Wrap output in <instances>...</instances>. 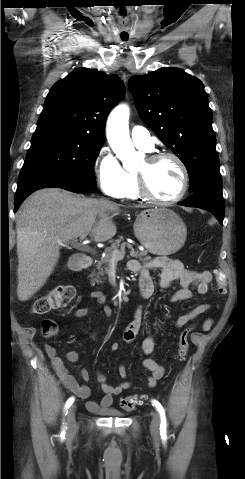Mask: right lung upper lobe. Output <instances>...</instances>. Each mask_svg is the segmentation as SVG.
Returning a JSON list of instances; mask_svg holds the SVG:
<instances>
[{
    "mask_svg": "<svg viewBox=\"0 0 245 479\" xmlns=\"http://www.w3.org/2000/svg\"><path fill=\"white\" fill-rule=\"evenodd\" d=\"M123 95L117 76L78 68L54 84L36 129H66L103 143L108 113Z\"/></svg>",
    "mask_w": 245,
    "mask_h": 479,
    "instance_id": "cb5924a9",
    "label": "right lung upper lobe"
}]
</instances>
